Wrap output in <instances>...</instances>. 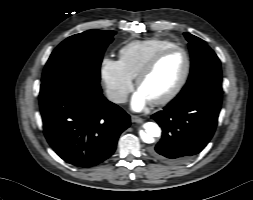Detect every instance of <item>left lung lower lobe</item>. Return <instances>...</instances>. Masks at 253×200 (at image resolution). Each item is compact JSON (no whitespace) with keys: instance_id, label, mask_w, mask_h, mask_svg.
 Returning a JSON list of instances; mask_svg holds the SVG:
<instances>
[{"instance_id":"0a47b994","label":"left lung lower lobe","mask_w":253,"mask_h":200,"mask_svg":"<svg viewBox=\"0 0 253 200\" xmlns=\"http://www.w3.org/2000/svg\"><path fill=\"white\" fill-rule=\"evenodd\" d=\"M221 101V90L204 89L188 99H174L152 115L162 128V138L151 155L164 163L179 164L202 151L215 132Z\"/></svg>"}]
</instances>
